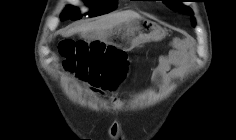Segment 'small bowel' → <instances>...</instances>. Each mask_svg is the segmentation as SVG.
I'll return each instance as SVG.
<instances>
[{
	"label": "small bowel",
	"instance_id": "1",
	"mask_svg": "<svg viewBox=\"0 0 236 140\" xmlns=\"http://www.w3.org/2000/svg\"><path fill=\"white\" fill-rule=\"evenodd\" d=\"M173 47L172 51L159 60L152 77L155 83H165L175 78L180 69L186 65L188 56L183 41L180 39L174 40Z\"/></svg>",
	"mask_w": 236,
	"mask_h": 140
}]
</instances>
